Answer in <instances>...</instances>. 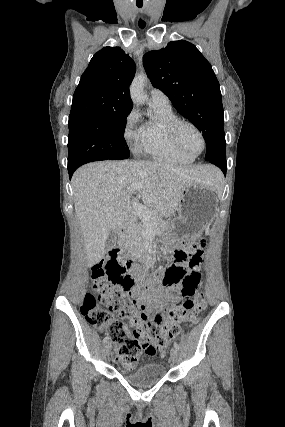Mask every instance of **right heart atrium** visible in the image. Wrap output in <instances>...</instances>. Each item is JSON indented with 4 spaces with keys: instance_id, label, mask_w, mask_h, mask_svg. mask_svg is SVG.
Here are the masks:
<instances>
[{
    "instance_id": "d8ad5b80",
    "label": "right heart atrium",
    "mask_w": 285,
    "mask_h": 427,
    "mask_svg": "<svg viewBox=\"0 0 285 427\" xmlns=\"http://www.w3.org/2000/svg\"><path fill=\"white\" fill-rule=\"evenodd\" d=\"M139 121V114L136 110H132L127 119L124 129V138L127 142L131 143L134 140H138L140 137V128L137 126Z\"/></svg>"
}]
</instances>
